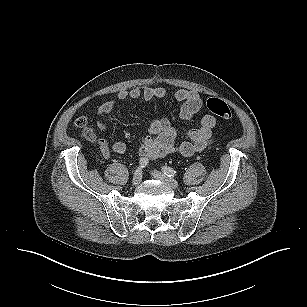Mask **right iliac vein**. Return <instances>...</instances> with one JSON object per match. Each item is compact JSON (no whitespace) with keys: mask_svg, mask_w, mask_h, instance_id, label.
<instances>
[{"mask_svg":"<svg viewBox=\"0 0 307 307\" xmlns=\"http://www.w3.org/2000/svg\"><path fill=\"white\" fill-rule=\"evenodd\" d=\"M141 180H142V171H141V169H137L134 172V175H133L132 185L138 186L140 184Z\"/></svg>","mask_w":307,"mask_h":307,"instance_id":"63e3f726","label":"right iliac vein"}]
</instances>
